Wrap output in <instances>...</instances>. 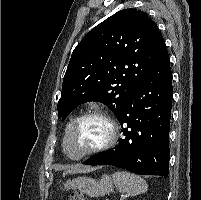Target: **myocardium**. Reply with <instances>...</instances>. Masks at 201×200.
I'll list each match as a JSON object with an SVG mask.
<instances>
[{
	"instance_id": "1",
	"label": "myocardium",
	"mask_w": 201,
	"mask_h": 200,
	"mask_svg": "<svg viewBox=\"0 0 201 200\" xmlns=\"http://www.w3.org/2000/svg\"><path fill=\"white\" fill-rule=\"evenodd\" d=\"M93 117L99 118L106 123V125L108 127V135H107L106 140L95 148L87 150L79 155H72L71 151H70V147H69V139H70V136H71L73 130L81 121L88 119V118H93ZM117 139H118V125H117L116 121L114 120V118L108 112H106L104 110L93 109V110H89V111L82 113L81 115L76 117L71 122V124L69 125V127L64 135L63 150L69 159L80 160L87 156L99 154V153H102V152L110 149L111 147H113L115 145Z\"/></svg>"
}]
</instances>
